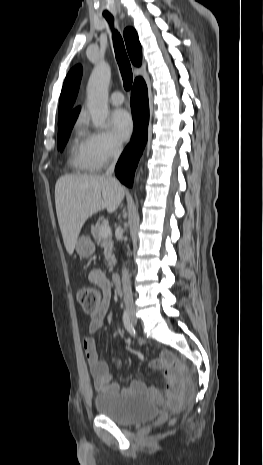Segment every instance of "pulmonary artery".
Segmentation results:
<instances>
[{"instance_id": "e3ab8cb5", "label": "pulmonary artery", "mask_w": 263, "mask_h": 465, "mask_svg": "<svg viewBox=\"0 0 263 465\" xmlns=\"http://www.w3.org/2000/svg\"><path fill=\"white\" fill-rule=\"evenodd\" d=\"M110 102L113 105H121L124 102V97L121 92L115 91L110 95Z\"/></svg>"}]
</instances>
